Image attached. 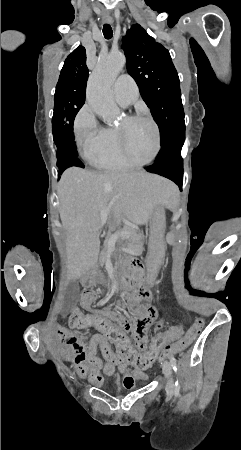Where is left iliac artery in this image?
I'll use <instances>...</instances> for the list:
<instances>
[{
  "label": "left iliac artery",
  "instance_id": "left-iliac-artery-1",
  "mask_svg": "<svg viewBox=\"0 0 241 450\" xmlns=\"http://www.w3.org/2000/svg\"><path fill=\"white\" fill-rule=\"evenodd\" d=\"M169 360H170V363H171L173 369H174L175 371H177V367H176V359L174 358V356H170V357H169ZM180 388H181L180 383H179V381L177 380V381L175 382V393H179Z\"/></svg>",
  "mask_w": 241,
  "mask_h": 450
}]
</instances>
